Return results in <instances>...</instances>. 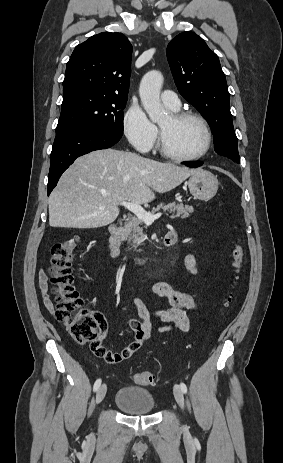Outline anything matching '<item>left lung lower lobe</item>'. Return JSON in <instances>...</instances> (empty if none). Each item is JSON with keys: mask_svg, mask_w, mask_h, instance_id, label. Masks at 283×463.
I'll return each mask as SVG.
<instances>
[{"mask_svg": "<svg viewBox=\"0 0 283 463\" xmlns=\"http://www.w3.org/2000/svg\"><path fill=\"white\" fill-rule=\"evenodd\" d=\"M189 167H199L203 164V162H195V163H185Z\"/></svg>", "mask_w": 283, "mask_h": 463, "instance_id": "obj_1", "label": "left lung lower lobe"}]
</instances>
